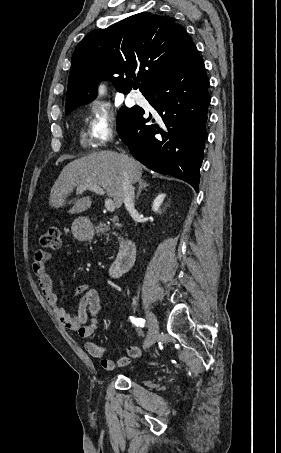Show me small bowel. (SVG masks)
Segmentation results:
<instances>
[{
  "mask_svg": "<svg viewBox=\"0 0 281 453\" xmlns=\"http://www.w3.org/2000/svg\"><path fill=\"white\" fill-rule=\"evenodd\" d=\"M51 254L45 249H37L33 255L32 271L36 283L58 319L68 329L76 332L81 338L88 339L99 328V315L102 302L99 292L90 284L83 283L71 290L69 299L78 298L77 314L73 315L68 308L61 305L57 294L52 289L51 278L47 273V265L50 263ZM88 354L98 360L107 371H114L130 362V356H139L142 352L138 346H130L126 349L127 355L111 359L103 346L87 341L84 344Z\"/></svg>",
  "mask_w": 281,
  "mask_h": 453,
  "instance_id": "obj_1",
  "label": "small bowel"
}]
</instances>
